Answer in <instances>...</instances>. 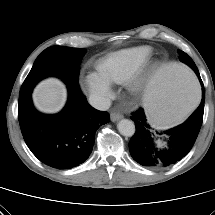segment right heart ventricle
Returning a JSON list of instances; mask_svg holds the SVG:
<instances>
[{"label": "right heart ventricle", "mask_w": 215, "mask_h": 215, "mask_svg": "<svg viewBox=\"0 0 215 215\" xmlns=\"http://www.w3.org/2000/svg\"><path fill=\"white\" fill-rule=\"evenodd\" d=\"M151 55L152 50L147 46L118 50L101 58L96 69L110 83H123L139 70Z\"/></svg>", "instance_id": "obj_1"}]
</instances>
